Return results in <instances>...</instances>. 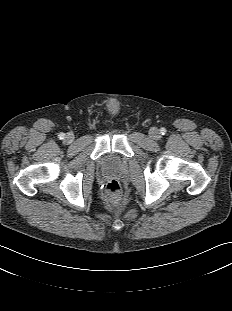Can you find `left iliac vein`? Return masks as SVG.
<instances>
[{"label": "left iliac vein", "instance_id": "1", "mask_svg": "<svg viewBox=\"0 0 232 311\" xmlns=\"http://www.w3.org/2000/svg\"><path fill=\"white\" fill-rule=\"evenodd\" d=\"M149 136L154 139L157 140L160 138V134L157 128H151L149 131Z\"/></svg>", "mask_w": 232, "mask_h": 311}]
</instances>
